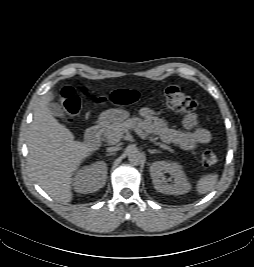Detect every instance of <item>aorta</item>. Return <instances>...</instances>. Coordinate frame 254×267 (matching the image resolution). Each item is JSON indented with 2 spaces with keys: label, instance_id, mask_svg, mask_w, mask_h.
<instances>
[{
  "label": "aorta",
  "instance_id": "762f6f07",
  "mask_svg": "<svg viewBox=\"0 0 254 267\" xmlns=\"http://www.w3.org/2000/svg\"><path fill=\"white\" fill-rule=\"evenodd\" d=\"M128 160L133 165H139L143 161V154L136 147L128 148Z\"/></svg>",
  "mask_w": 254,
  "mask_h": 267
}]
</instances>
